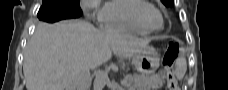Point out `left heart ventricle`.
Masks as SVG:
<instances>
[{"mask_svg":"<svg viewBox=\"0 0 228 90\" xmlns=\"http://www.w3.org/2000/svg\"><path fill=\"white\" fill-rule=\"evenodd\" d=\"M148 19H149V23L153 27H160L161 26V20L155 12L151 11L148 15Z\"/></svg>","mask_w":228,"mask_h":90,"instance_id":"obj_1","label":"left heart ventricle"}]
</instances>
